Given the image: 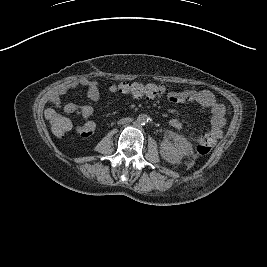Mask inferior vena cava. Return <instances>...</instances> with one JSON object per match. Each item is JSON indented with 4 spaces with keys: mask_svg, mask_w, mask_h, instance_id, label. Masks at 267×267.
<instances>
[{
    "mask_svg": "<svg viewBox=\"0 0 267 267\" xmlns=\"http://www.w3.org/2000/svg\"><path fill=\"white\" fill-rule=\"evenodd\" d=\"M132 122L131 118H123L119 121L120 124H126Z\"/></svg>",
    "mask_w": 267,
    "mask_h": 267,
    "instance_id": "602c4592",
    "label": "inferior vena cava"
}]
</instances>
